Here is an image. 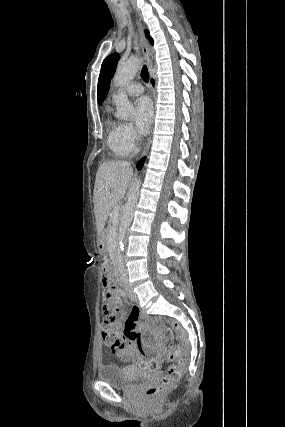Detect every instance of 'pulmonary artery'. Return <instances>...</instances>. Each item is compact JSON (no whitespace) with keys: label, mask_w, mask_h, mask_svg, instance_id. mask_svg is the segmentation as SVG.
Instances as JSON below:
<instances>
[{"label":"pulmonary artery","mask_w":285,"mask_h":427,"mask_svg":"<svg viewBox=\"0 0 285 427\" xmlns=\"http://www.w3.org/2000/svg\"><path fill=\"white\" fill-rule=\"evenodd\" d=\"M125 90L129 96H138L141 95L144 91L143 86L136 82L129 83Z\"/></svg>","instance_id":"pulmonary-artery-1"}]
</instances>
